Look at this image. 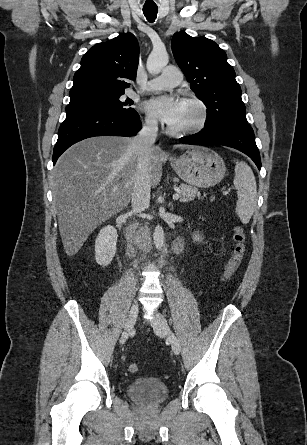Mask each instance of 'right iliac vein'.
<instances>
[{
    "instance_id": "1",
    "label": "right iliac vein",
    "mask_w": 307,
    "mask_h": 445,
    "mask_svg": "<svg viewBox=\"0 0 307 445\" xmlns=\"http://www.w3.org/2000/svg\"><path fill=\"white\" fill-rule=\"evenodd\" d=\"M138 312H139L138 304L134 303L130 308L128 318H127L125 326H124V330L121 334L120 344H124L126 342V340L128 339V337L135 325V322H136V319L138 316Z\"/></svg>"
}]
</instances>
